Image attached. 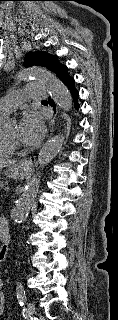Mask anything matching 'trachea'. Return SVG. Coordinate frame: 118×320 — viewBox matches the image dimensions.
<instances>
[{
  "label": "trachea",
  "instance_id": "3493384b",
  "mask_svg": "<svg viewBox=\"0 0 118 320\" xmlns=\"http://www.w3.org/2000/svg\"><path fill=\"white\" fill-rule=\"evenodd\" d=\"M42 102H47L46 100H43Z\"/></svg>",
  "mask_w": 118,
  "mask_h": 320
}]
</instances>
